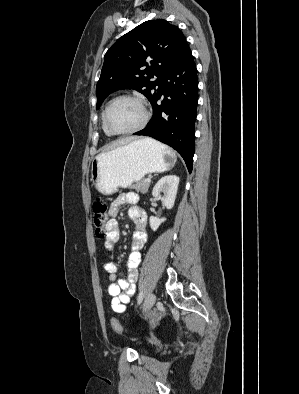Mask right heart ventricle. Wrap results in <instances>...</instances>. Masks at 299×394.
Returning a JSON list of instances; mask_svg holds the SVG:
<instances>
[{
  "label": "right heart ventricle",
  "mask_w": 299,
  "mask_h": 394,
  "mask_svg": "<svg viewBox=\"0 0 299 394\" xmlns=\"http://www.w3.org/2000/svg\"><path fill=\"white\" fill-rule=\"evenodd\" d=\"M105 109H106V108H105ZM105 109L103 110V113H102V129H103V131H104V133H105L106 135L111 136L112 134H110V133L108 132V130L106 129L105 124H104V112H105Z\"/></svg>",
  "instance_id": "e07e8e85"
}]
</instances>
